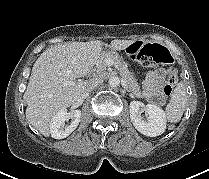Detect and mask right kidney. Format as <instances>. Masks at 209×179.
I'll return each instance as SVG.
<instances>
[{"mask_svg":"<svg viewBox=\"0 0 209 179\" xmlns=\"http://www.w3.org/2000/svg\"><path fill=\"white\" fill-rule=\"evenodd\" d=\"M81 118L80 110H72L67 112L66 109L58 111L51 120L50 133L55 139H64L69 136L78 126ZM71 120L69 125L65 122Z\"/></svg>","mask_w":209,"mask_h":179,"instance_id":"right-kidney-1","label":"right kidney"}]
</instances>
